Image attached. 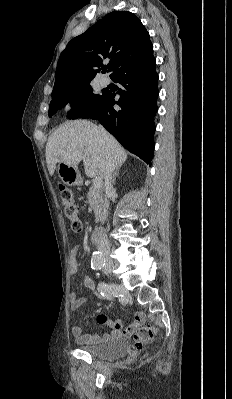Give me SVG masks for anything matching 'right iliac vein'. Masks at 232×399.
<instances>
[{
  "mask_svg": "<svg viewBox=\"0 0 232 399\" xmlns=\"http://www.w3.org/2000/svg\"><path fill=\"white\" fill-rule=\"evenodd\" d=\"M105 262H106V265H104V273H108V276L112 277L113 269H114L113 263H112V261H105Z\"/></svg>",
  "mask_w": 232,
  "mask_h": 399,
  "instance_id": "obj_1",
  "label": "right iliac vein"
}]
</instances>
